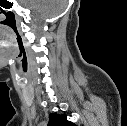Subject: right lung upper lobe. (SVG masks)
<instances>
[{
  "instance_id": "right-lung-upper-lobe-1",
  "label": "right lung upper lobe",
  "mask_w": 127,
  "mask_h": 126,
  "mask_svg": "<svg viewBox=\"0 0 127 126\" xmlns=\"http://www.w3.org/2000/svg\"><path fill=\"white\" fill-rule=\"evenodd\" d=\"M48 126H75V125L66 119V115L51 113L49 115Z\"/></svg>"
}]
</instances>
